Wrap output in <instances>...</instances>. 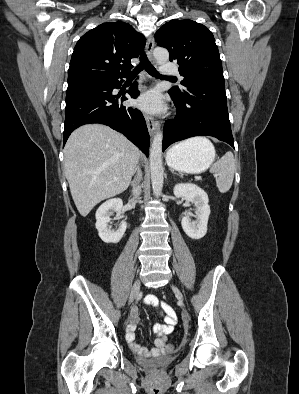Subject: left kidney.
<instances>
[{
  "mask_svg": "<svg viewBox=\"0 0 299 394\" xmlns=\"http://www.w3.org/2000/svg\"><path fill=\"white\" fill-rule=\"evenodd\" d=\"M173 192L175 197H183L187 202L193 203L196 207V221L191 222L189 216L182 218L181 225L184 232L187 236L195 240L203 238L207 233V224L210 215L207 193L192 183H179L175 185Z\"/></svg>",
  "mask_w": 299,
  "mask_h": 394,
  "instance_id": "obj_1",
  "label": "left kidney"
}]
</instances>
